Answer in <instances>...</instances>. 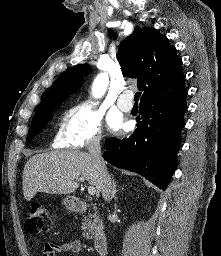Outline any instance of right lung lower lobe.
I'll return each instance as SVG.
<instances>
[{"mask_svg":"<svg viewBox=\"0 0 221 256\" xmlns=\"http://www.w3.org/2000/svg\"><path fill=\"white\" fill-rule=\"evenodd\" d=\"M187 91L154 96L140 102L141 119L129 138L105 141L104 159L134 171L165 190L176 170V153L185 125Z\"/></svg>","mask_w":221,"mask_h":256,"instance_id":"98d812e1","label":"right lung lower lobe"}]
</instances>
